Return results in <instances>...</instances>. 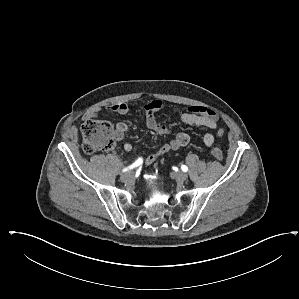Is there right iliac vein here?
Returning a JSON list of instances; mask_svg holds the SVG:
<instances>
[{"instance_id": "obj_1", "label": "right iliac vein", "mask_w": 299, "mask_h": 299, "mask_svg": "<svg viewBox=\"0 0 299 299\" xmlns=\"http://www.w3.org/2000/svg\"><path fill=\"white\" fill-rule=\"evenodd\" d=\"M120 179L124 183H129L134 179V172L131 171V172L125 173L120 177Z\"/></svg>"}]
</instances>
